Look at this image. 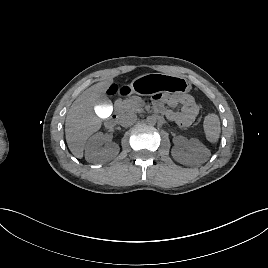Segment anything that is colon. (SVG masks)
<instances>
[{"label": "colon", "instance_id": "5ec220e1", "mask_svg": "<svg viewBox=\"0 0 268 268\" xmlns=\"http://www.w3.org/2000/svg\"><path fill=\"white\" fill-rule=\"evenodd\" d=\"M110 92H111V93H114V92H115V90H113V89L111 88V89H110Z\"/></svg>", "mask_w": 268, "mask_h": 268}]
</instances>
